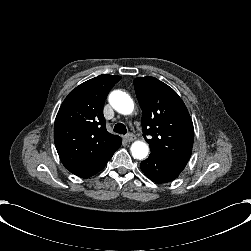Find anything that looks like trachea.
Masks as SVG:
<instances>
[{
    "label": "trachea",
    "mask_w": 251,
    "mask_h": 251,
    "mask_svg": "<svg viewBox=\"0 0 251 251\" xmlns=\"http://www.w3.org/2000/svg\"><path fill=\"white\" fill-rule=\"evenodd\" d=\"M113 131H114L115 133L124 134V135L127 133L126 126H125L123 123H117V124L114 126Z\"/></svg>",
    "instance_id": "3493384b"
}]
</instances>
